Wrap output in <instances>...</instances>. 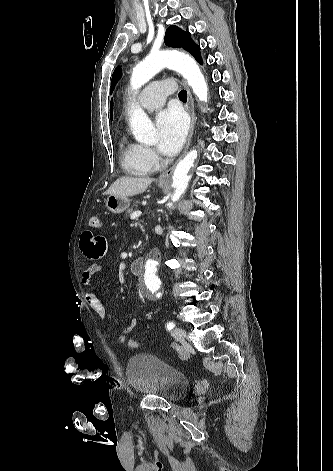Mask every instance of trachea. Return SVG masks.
<instances>
[{"instance_id": "3493384b", "label": "trachea", "mask_w": 333, "mask_h": 471, "mask_svg": "<svg viewBox=\"0 0 333 471\" xmlns=\"http://www.w3.org/2000/svg\"><path fill=\"white\" fill-rule=\"evenodd\" d=\"M181 101H187V92L185 90H181L178 95Z\"/></svg>"}]
</instances>
